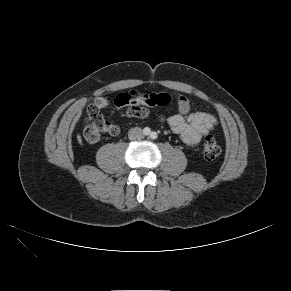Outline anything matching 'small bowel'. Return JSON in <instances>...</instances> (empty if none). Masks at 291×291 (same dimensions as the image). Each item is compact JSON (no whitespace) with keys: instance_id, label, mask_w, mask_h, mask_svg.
I'll return each mask as SVG.
<instances>
[{"instance_id":"obj_1","label":"small bowel","mask_w":291,"mask_h":291,"mask_svg":"<svg viewBox=\"0 0 291 291\" xmlns=\"http://www.w3.org/2000/svg\"><path fill=\"white\" fill-rule=\"evenodd\" d=\"M129 92H131L134 96L137 94L135 91ZM157 94L159 95L166 93ZM110 102L111 101L108 97L99 96L95 99L93 105L102 115V111L109 106ZM149 107L151 106H149L147 103H138L133 98L128 102V106L126 107V115L129 118H146L150 115ZM176 107L177 112L171 114L165 120L171 130L177 134L189 147H193L199 144L203 137H205L217 126V119L213 115L206 112H191L190 101L185 96H180L177 98ZM160 119L164 120L162 117H160ZM113 126L115 127L116 132L112 135H117L119 128L114 124Z\"/></svg>"}]
</instances>
